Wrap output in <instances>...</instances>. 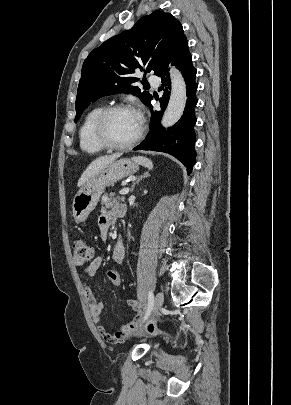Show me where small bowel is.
Listing matches in <instances>:
<instances>
[{"label":"small bowel","instance_id":"small-bowel-1","mask_svg":"<svg viewBox=\"0 0 291 405\" xmlns=\"http://www.w3.org/2000/svg\"><path fill=\"white\" fill-rule=\"evenodd\" d=\"M116 217V212H104L99 218L100 234L103 239L106 238L109 227L112 225ZM113 259L116 263H122L125 256V249L121 242L113 249ZM102 259L95 258L85 269L84 273L89 277H94L100 269ZM85 296L90 306V313L93 321L98 326L100 335L108 342L121 343L131 337L139 328L145 307L134 299L127 301L128 305L136 312L133 319L116 332H110L104 328L101 322V314L104 308L102 301L97 299L89 287H85Z\"/></svg>","mask_w":291,"mask_h":405}]
</instances>
